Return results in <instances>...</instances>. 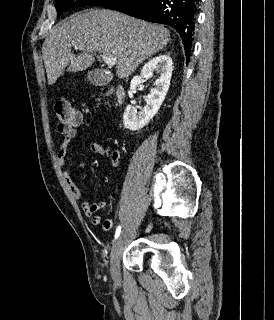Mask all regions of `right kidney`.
I'll return each instance as SVG.
<instances>
[{
  "mask_svg": "<svg viewBox=\"0 0 274 320\" xmlns=\"http://www.w3.org/2000/svg\"><path fill=\"white\" fill-rule=\"evenodd\" d=\"M172 70L173 62L169 54H163V56L159 54V56L152 58L147 64H144L140 76L132 78L128 92L129 98H133V94H135L137 86L143 82V78L152 76L153 72L159 74L156 88H152L146 106L139 108L140 112H138V108H135V106H127L123 116L124 128L137 132V130H141V128L147 126L148 122L154 118L159 108H161L165 96H167Z\"/></svg>",
  "mask_w": 274,
  "mask_h": 320,
  "instance_id": "obj_1",
  "label": "right kidney"
}]
</instances>
